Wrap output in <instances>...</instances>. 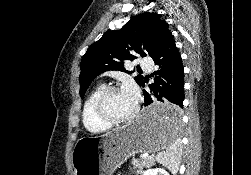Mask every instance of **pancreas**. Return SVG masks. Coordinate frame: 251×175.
Listing matches in <instances>:
<instances>
[{"instance_id":"pancreas-1","label":"pancreas","mask_w":251,"mask_h":175,"mask_svg":"<svg viewBox=\"0 0 251 175\" xmlns=\"http://www.w3.org/2000/svg\"><path fill=\"white\" fill-rule=\"evenodd\" d=\"M132 163L134 165L133 169H137L136 175H138V173H143L144 167L153 165V155H146V157H140V159H133Z\"/></svg>"}]
</instances>
